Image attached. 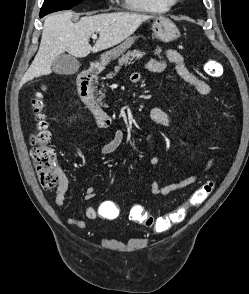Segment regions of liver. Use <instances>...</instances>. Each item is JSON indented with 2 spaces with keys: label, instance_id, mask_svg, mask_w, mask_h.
Returning a JSON list of instances; mask_svg holds the SVG:
<instances>
[{
  "label": "liver",
  "instance_id": "1",
  "mask_svg": "<svg viewBox=\"0 0 249 294\" xmlns=\"http://www.w3.org/2000/svg\"><path fill=\"white\" fill-rule=\"evenodd\" d=\"M73 12H61L48 16L44 20L39 50L24 74L21 84L52 72L54 60L63 52L73 57L83 58L90 52L113 47L131 36L139 26L151 16L114 12L82 17L73 23ZM99 33V39L92 47L90 35Z\"/></svg>",
  "mask_w": 249,
  "mask_h": 294
}]
</instances>
